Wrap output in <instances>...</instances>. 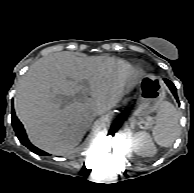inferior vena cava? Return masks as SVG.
Segmentation results:
<instances>
[{
	"instance_id": "inferior-vena-cava-1",
	"label": "inferior vena cava",
	"mask_w": 194,
	"mask_h": 193,
	"mask_svg": "<svg viewBox=\"0 0 194 193\" xmlns=\"http://www.w3.org/2000/svg\"><path fill=\"white\" fill-rule=\"evenodd\" d=\"M102 113H103L102 110L96 109L92 115H93V116H97L98 114H102Z\"/></svg>"
}]
</instances>
